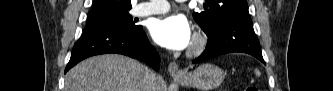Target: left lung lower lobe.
I'll list each match as a JSON object with an SVG mask.
<instances>
[{"instance_id":"1","label":"left lung lower lobe","mask_w":333,"mask_h":91,"mask_svg":"<svg viewBox=\"0 0 333 91\" xmlns=\"http://www.w3.org/2000/svg\"><path fill=\"white\" fill-rule=\"evenodd\" d=\"M207 36L205 51L193 63L232 52L247 53L265 63L250 15L226 19Z\"/></svg>"}]
</instances>
